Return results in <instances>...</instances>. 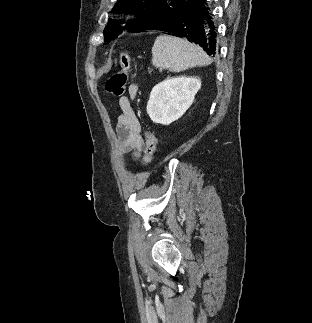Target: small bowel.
<instances>
[{
  "label": "small bowel",
  "instance_id": "1",
  "mask_svg": "<svg viewBox=\"0 0 312 323\" xmlns=\"http://www.w3.org/2000/svg\"><path fill=\"white\" fill-rule=\"evenodd\" d=\"M137 90V85L131 84L129 96L119 98L120 113L116 126V152L118 155L131 153L135 160L140 158L144 145L141 124L132 106Z\"/></svg>",
  "mask_w": 312,
  "mask_h": 323
}]
</instances>
